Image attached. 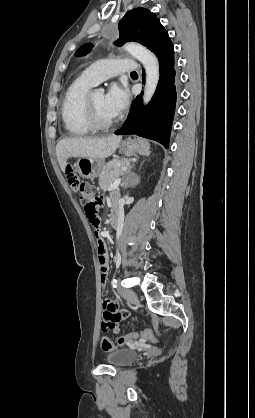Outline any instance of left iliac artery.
<instances>
[{
	"mask_svg": "<svg viewBox=\"0 0 255 418\" xmlns=\"http://www.w3.org/2000/svg\"><path fill=\"white\" fill-rule=\"evenodd\" d=\"M111 284L114 288L117 287V280L116 279H112Z\"/></svg>",
	"mask_w": 255,
	"mask_h": 418,
	"instance_id": "left-iliac-artery-1",
	"label": "left iliac artery"
}]
</instances>
